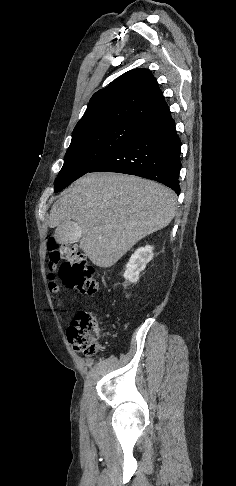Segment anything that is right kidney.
Here are the masks:
<instances>
[{
  "label": "right kidney",
  "instance_id": "obj_1",
  "mask_svg": "<svg viewBox=\"0 0 236 486\" xmlns=\"http://www.w3.org/2000/svg\"><path fill=\"white\" fill-rule=\"evenodd\" d=\"M153 258V246L146 245L138 248L130 257L126 264L124 278L129 283H136L139 279L140 272H142L147 263Z\"/></svg>",
  "mask_w": 236,
  "mask_h": 486
}]
</instances>
